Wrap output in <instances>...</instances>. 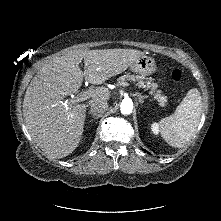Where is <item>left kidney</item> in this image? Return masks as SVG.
I'll return each mask as SVG.
<instances>
[{"mask_svg": "<svg viewBox=\"0 0 221 221\" xmlns=\"http://www.w3.org/2000/svg\"><path fill=\"white\" fill-rule=\"evenodd\" d=\"M151 130H152V132L154 133V134H158L159 133V125H158V123H153L152 125H151Z\"/></svg>", "mask_w": 221, "mask_h": 221, "instance_id": "1", "label": "left kidney"}]
</instances>
